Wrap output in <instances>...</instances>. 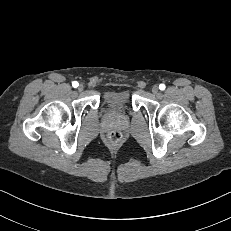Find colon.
I'll use <instances>...</instances> for the list:
<instances>
[{
    "label": "colon",
    "instance_id": "1",
    "mask_svg": "<svg viewBox=\"0 0 231 231\" xmlns=\"http://www.w3.org/2000/svg\"><path fill=\"white\" fill-rule=\"evenodd\" d=\"M121 133L118 132V131H112L109 133V141L112 143V144H117L120 140H121Z\"/></svg>",
    "mask_w": 231,
    "mask_h": 231
}]
</instances>
